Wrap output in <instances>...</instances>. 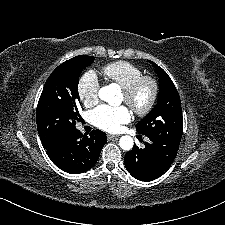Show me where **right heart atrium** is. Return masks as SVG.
Wrapping results in <instances>:
<instances>
[{
  "label": "right heart atrium",
  "instance_id": "1",
  "mask_svg": "<svg viewBox=\"0 0 225 225\" xmlns=\"http://www.w3.org/2000/svg\"><path fill=\"white\" fill-rule=\"evenodd\" d=\"M100 82L95 71L87 70L79 78L77 92L79 99L87 107H92L99 100Z\"/></svg>",
  "mask_w": 225,
  "mask_h": 225
}]
</instances>
